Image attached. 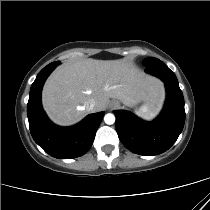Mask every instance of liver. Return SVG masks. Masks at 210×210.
<instances>
[{"mask_svg":"<svg viewBox=\"0 0 210 210\" xmlns=\"http://www.w3.org/2000/svg\"><path fill=\"white\" fill-rule=\"evenodd\" d=\"M163 93L160 81L127 61L85 59L58 67L44 85L42 102L55 123L71 125L91 112L90 100L96 102L92 112H100L110 98L127 106L141 101L158 105Z\"/></svg>","mask_w":210,"mask_h":210,"instance_id":"obj_1","label":"liver"}]
</instances>
